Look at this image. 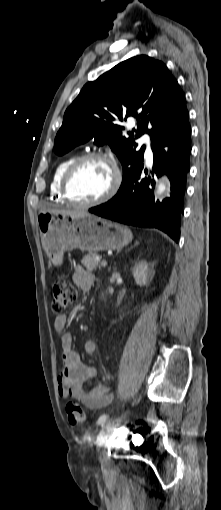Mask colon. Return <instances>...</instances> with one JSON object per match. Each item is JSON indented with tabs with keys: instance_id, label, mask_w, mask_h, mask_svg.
I'll return each instance as SVG.
<instances>
[{
	"instance_id": "5ec220e1",
	"label": "colon",
	"mask_w": 221,
	"mask_h": 510,
	"mask_svg": "<svg viewBox=\"0 0 221 510\" xmlns=\"http://www.w3.org/2000/svg\"><path fill=\"white\" fill-rule=\"evenodd\" d=\"M76 287L67 278H57L53 284L52 311L56 314L62 313L77 299ZM68 420L72 425H83L86 421V414L83 408L75 401L69 400L66 403Z\"/></svg>"
}]
</instances>
